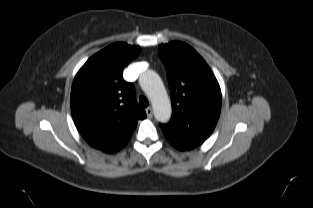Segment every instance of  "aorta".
Segmentation results:
<instances>
[{
	"instance_id": "762f6f07",
	"label": "aorta",
	"mask_w": 313,
	"mask_h": 208,
	"mask_svg": "<svg viewBox=\"0 0 313 208\" xmlns=\"http://www.w3.org/2000/svg\"><path fill=\"white\" fill-rule=\"evenodd\" d=\"M139 83L152 102L155 119L162 123L168 122L171 117L172 107L159 75L152 70H147L140 75Z\"/></svg>"
}]
</instances>
